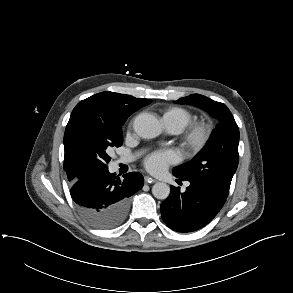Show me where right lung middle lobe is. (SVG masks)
<instances>
[{"label": "right lung middle lobe", "mask_w": 293, "mask_h": 293, "mask_svg": "<svg viewBox=\"0 0 293 293\" xmlns=\"http://www.w3.org/2000/svg\"><path fill=\"white\" fill-rule=\"evenodd\" d=\"M132 113L112 107L96 95L76 105L64 135V165L75 179L88 172L108 168L111 160L108 151L123 144L122 126ZM83 218L103 229L114 228L123 220L119 215Z\"/></svg>", "instance_id": "dd1d6c3e"}]
</instances>
